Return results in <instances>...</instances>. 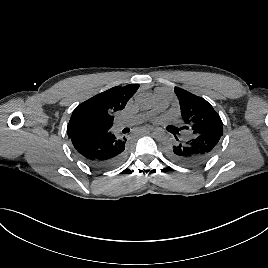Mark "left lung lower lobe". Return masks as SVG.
Here are the masks:
<instances>
[{
  "mask_svg": "<svg viewBox=\"0 0 268 268\" xmlns=\"http://www.w3.org/2000/svg\"><path fill=\"white\" fill-rule=\"evenodd\" d=\"M222 135L210 133L192 135L189 140H179L169 146L170 158L187 167L201 165L208 161L216 152Z\"/></svg>",
  "mask_w": 268,
  "mask_h": 268,
  "instance_id": "obj_1",
  "label": "left lung lower lobe"
}]
</instances>
